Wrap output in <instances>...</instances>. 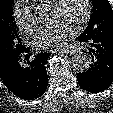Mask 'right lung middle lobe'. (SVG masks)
<instances>
[{
    "label": "right lung middle lobe",
    "mask_w": 113,
    "mask_h": 113,
    "mask_svg": "<svg viewBox=\"0 0 113 113\" xmlns=\"http://www.w3.org/2000/svg\"><path fill=\"white\" fill-rule=\"evenodd\" d=\"M13 4L14 0H0V69L25 48L14 22Z\"/></svg>",
    "instance_id": "right-lung-middle-lobe-1"
}]
</instances>
